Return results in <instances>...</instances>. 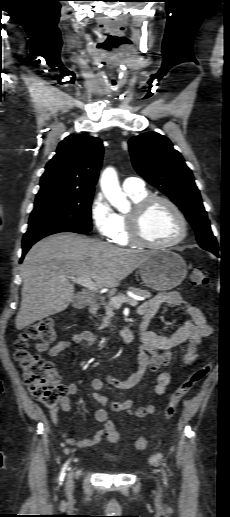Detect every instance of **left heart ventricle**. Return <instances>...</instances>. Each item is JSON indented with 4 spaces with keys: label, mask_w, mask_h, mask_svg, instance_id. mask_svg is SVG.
Masks as SVG:
<instances>
[{
    "label": "left heart ventricle",
    "mask_w": 230,
    "mask_h": 517,
    "mask_svg": "<svg viewBox=\"0 0 230 517\" xmlns=\"http://www.w3.org/2000/svg\"><path fill=\"white\" fill-rule=\"evenodd\" d=\"M142 227L145 237L155 243L170 242L181 232L179 218L163 202H156L149 208L143 219Z\"/></svg>",
    "instance_id": "b2bd125f"
}]
</instances>
